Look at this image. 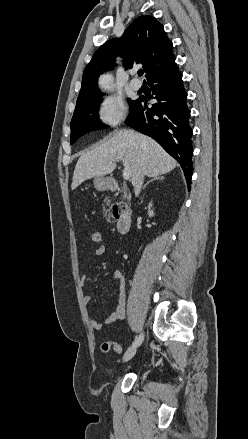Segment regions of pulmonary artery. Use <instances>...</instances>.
<instances>
[{
    "mask_svg": "<svg viewBox=\"0 0 248 439\" xmlns=\"http://www.w3.org/2000/svg\"><path fill=\"white\" fill-rule=\"evenodd\" d=\"M131 75H134V72H131ZM129 86L133 89V90H138L141 88L142 84L141 81L136 79V78H132L129 82Z\"/></svg>",
    "mask_w": 248,
    "mask_h": 439,
    "instance_id": "1",
    "label": "pulmonary artery"
}]
</instances>
